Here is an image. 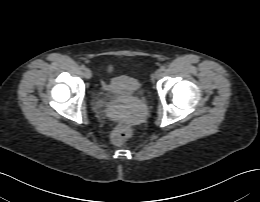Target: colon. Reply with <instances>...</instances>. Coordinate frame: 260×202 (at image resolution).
<instances>
[{"instance_id":"5ec220e1","label":"colon","mask_w":260,"mask_h":202,"mask_svg":"<svg viewBox=\"0 0 260 202\" xmlns=\"http://www.w3.org/2000/svg\"><path fill=\"white\" fill-rule=\"evenodd\" d=\"M129 135L128 128L123 124H119L112 132V142L117 146H121L128 139Z\"/></svg>"}]
</instances>
